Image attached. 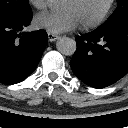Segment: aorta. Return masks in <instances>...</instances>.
<instances>
[{
    "mask_svg": "<svg viewBox=\"0 0 128 128\" xmlns=\"http://www.w3.org/2000/svg\"><path fill=\"white\" fill-rule=\"evenodd\" d=\"M49 2L53 6H57L60 3V0H49ZM56 47L61 54L71 56L76 51V42L71 38L63 37L57 41Z\"/></svg>",
    "mask_w": 128,
    "mask_h": 128,
    "instance_id": "aorta-1",
    "label": "aorta"
}]
</instances>
